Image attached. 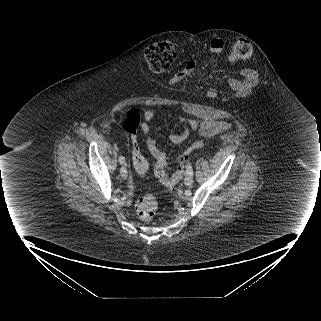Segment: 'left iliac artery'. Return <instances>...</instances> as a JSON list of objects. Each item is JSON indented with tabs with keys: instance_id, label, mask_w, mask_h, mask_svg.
<instances>
[{
	"instance_id": "left-iliac-artery-1",
	"label": "left iliac artery",
	"mask_w": 321,
	"mask_h": 321,
	"mask_svg": "<svg viewBox=\"0 0 321 321\" xmlns=\"http://www.w3.org/2000/svg\"><path fill=\"white\" fill-rule=\"evenodd\" d=\"M186 172H187V174H189L191 176L193 175V169H192V166L190 164L187 165V171Z\"/></svg>"
}]
</instances>
